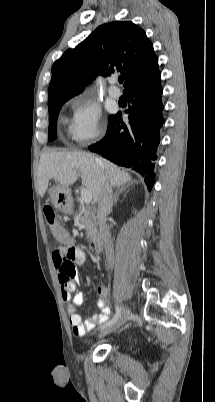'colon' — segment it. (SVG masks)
<instances>
[{
	"label": "colon",
	"mask_w": 215,
	"mask_h": 402,
	"mask_svg": "<svg viewBox=\"0 0 215 402\" xmlns=\"http://www.w3.org/2000/svg\"><path fill=\"white\" fill-rule=\"evenodd\" d=\"M44 215L53 236L56 238V242L58 244H65V248H70L69 242H72V237L66 235L61 226L59 225L54 209L50 206H46L44 208ZM71 270L72 266L68 264L65 267V271H71Z\"/></svg>",
	"instance_id": "colon-1"
}]
</instances>
